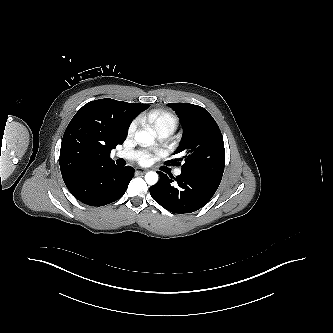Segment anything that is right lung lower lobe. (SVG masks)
I'll use <instances>...</instances> for the list:
<instances>
[{"label":"right lung lower lobe","instance_id":"obj_1","mask_svg":"<svg viewBox=\"0 0 333 333\" xmlns=\"http://www.w3.org/2000/svg\"><path fill=\"white\" fill-rule=\"evenodd\" d=\"M133 176L132 167L110 164L86 172L68 189L87 205L103 206L121 198Z\"/></svg>","mask_w":333,"mask_h":333}]
</instances>
